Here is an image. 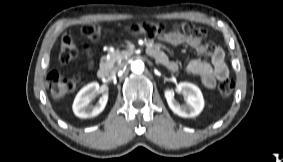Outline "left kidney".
Returning a JSON list of instances; mask_svg holds the SVG:
<instances>
[{"label": "left kidney", "mask_w": 283, "mask_h": 162, "mask_svg": "<svg viewBox=\"0 0 283 162\" xmlns=\"http://www.w3.org/2000/svg\"><path fill=\"white\" fill-rule=\"evenodd\" d=\"M177 90L186 95V103L179 104L174 98L173 90L166 89L164 95L170 109L178 116L184 118H191L200 114L204 108V99L201 90L189 82L179 83Z\"/></svg>", "instance_id": "1"}]
</instances>
